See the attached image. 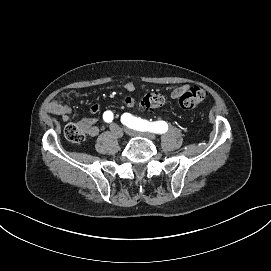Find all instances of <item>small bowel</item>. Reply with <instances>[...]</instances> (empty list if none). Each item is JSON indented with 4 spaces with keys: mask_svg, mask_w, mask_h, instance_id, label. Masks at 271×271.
Here are the masks:
<instances>
[{
    "mask_svg": "<svg viewBox=\"0 0 271 271\" xmlns=\"http://www.w3.org/2000/svg\"><path fill=\"white\" fill-rule=\"evenodd\" d=\"M124 88L128 92H132L135 90V85L132 82H127L124 85ZM189 89V86H181L173 89L170 93V98L172 100H176L181 97V95ZM122 103L130 108L135 107L136 105V100L132 97H125L122 100ZM47 110L49 113L54 114L56 116H59L64 122H69L70 121V115H71V108L65 104H62L58 101H52L49 103ZM101 110V105L100 104H94L90 108V113L91 114H97ZM82 126H84L86 130V134L88 136H96L99 133V127L96 124V119L90 118L86 119L82 122Z\"/></svg>",
    "mask_w": 271,
    "mask_h": 271,
    "instance_id": "c3829d8e",
    "label": "small bowel"
}]
</instances>
